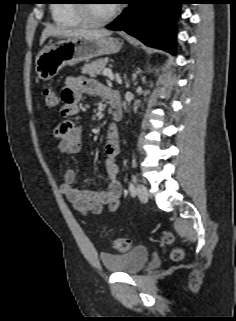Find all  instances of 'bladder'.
I'll use <instances>...</instances> for the list:
<instances>
[{"mask_svg": "<svg viewBox=\"0 0 236 321\" xmlns=\"http://www.w3.org/2000/svg\"><path fill=\"white\" fill-rule=\"evenodd\" d=\"M149 257V249L138 246L126 253L101 254V261L109 272L136 274L146 265Z\"/></svg>", "mask_w": 236, "mask_h": 321, "instance_id": "bladder-1", "label": "bladder"}]
</instances>
